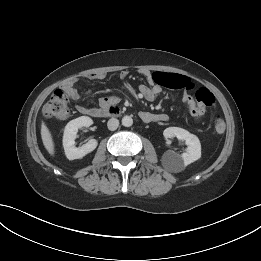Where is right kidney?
Masks as SVG:
<instances>
[{"mask_svg":"<svg viewBox=\"0 0 261 261\" xmlns=\"http://www.w3.org/2000/svg\"><path fill=\"white\" fill-rule=\"evenodd\" d=\"M93 124L90 117L81 116L71 120L64 129L63 147L65 155L69 160L81 159L88 153L92 152L98 145L96 139H90L81 147H75V139L77 137L78 129L81 127H89Z\"/></svg>","mask_w":261,"mask_h":261,"instance_id":"ca27d5eb","label":"right kidney"}]
</instances>
